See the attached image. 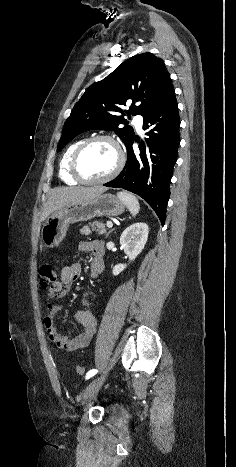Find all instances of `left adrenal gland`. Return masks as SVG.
<instances>
[{"label":"left adrenal gland","mask_w":236,"mask_h":467,"mask_svg":"<svg viewBox=\"0 0 236 467\" xmlns=\"http://www.w3.org/2000/svg\"><path fill=\"white\" fill-rule=\"evenodd\" d=\"M114 229L110 230L107 234H106V238H108L109 234L113 231Z\"/></svg>","instance_id":"obj_1"}]
</instances>
